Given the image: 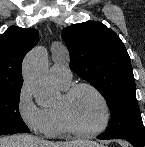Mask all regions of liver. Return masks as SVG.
<instances>
[{
	"instance_id": "obj_1",
	"label": "liver",
	"mask_w": 145,
	"mask_h": 147,
	"mask_svg": "<svg viewBox=\"0 0 145 147\" xmlns=\"http://www.w3.org/2000/svg\"><path fill=\"white\" fill-rule=\"evenodd\" d=\"M0 147H100L91 141L48 142L31 135H11L0 138Z\"/></svg>"
}]
</instances>
